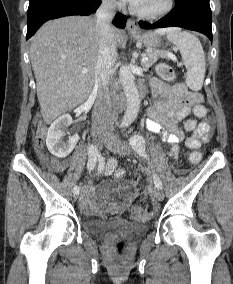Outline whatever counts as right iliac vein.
Masks as SVG:
<instances>
[{
    "instance_id": "obj_1",
    "label": "right iliac vein",
    "mask_w": 233,
    "mask_h": 284,
    "mask_svg": "<svg viewBox=\"0 0 233 284\" xmlns=\"http://www.w3.org/2000/svg\"><path fill=\"white\" fill-rule=\"evenodd\" d=\"M106 140L107 138L100 134V133H95L93 135V141L95 143V146L98 148V149H101L103 147V145L106 143ZM79 197V194H75L74 195V199L77 200Z\"/></svg>"
}]
</instances>
